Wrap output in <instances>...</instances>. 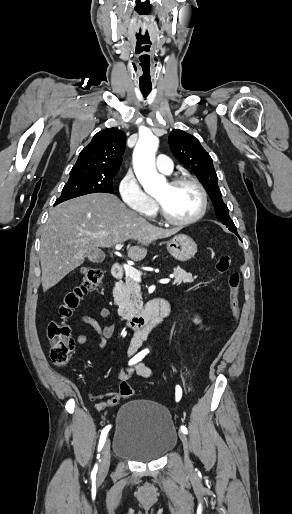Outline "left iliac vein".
<instances>
[{
    "instance_id": "4c4485c4",
    "label": "left iliac vein",
    "mask_w": 292,
    "mask_h": 514,
    "mask_svg": "<svg viewBox=\"0 0 292 514\" xmlns=\"http://www.w3.org/2000/svg\"><path fill=\"white\" fill-rule=\"evenodd\" d=\"M179 437H180V440L182 441L183 448H184V461H185V465L187 467H190L191 466V461H190V458H189V441H188V437L183 432H179Z\"/></svg>"
}]
</instances>
